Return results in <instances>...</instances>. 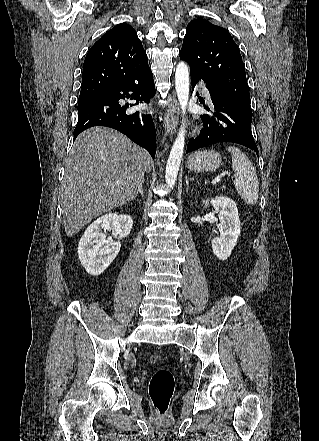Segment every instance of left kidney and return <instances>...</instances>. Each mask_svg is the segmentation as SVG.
I'll return each mask as SVG.
<instances>
[{"mask_svg":"<svg viewBox=\"0 0 319 441\" xmlns=\"http://www.w3.org/2000/svg\"><path fill=\"white\" fill-rule=\"evenodd\" d=\"M210 204L218 213L219 223L217 227L220 232V237H215L211 241L212 250L219 260L224 261L232 253L241 232L238 209L236 203L225 196L211 199ZM203 205L206 208L209 201L203 200Z\"/></svg>","mask_w":319,"mask_h":441,"instance_id":"left-kidney-1","label":"left kidney"}]
</instances>
